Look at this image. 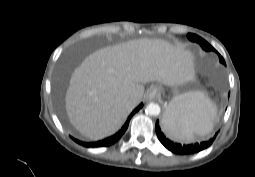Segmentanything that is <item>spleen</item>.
<instances>
[{
    "label": "spleen",
    "mask_w": 255,
    "mask_h": 177,
    "mask_svg": "<svg viewBox=\"0 0 255 177\" xmlns=\"http://www.w3.org/2000/svg\"><path fill=\"white\" fill-rule=\"evenodd\" d=\"M171 110L163 120V129L175 141L192 142L195 134L207 135L212 131L216 106L202 92H188L173 98Z\"/></svg>",
    "instance_id": "1"
}]
</instances>
